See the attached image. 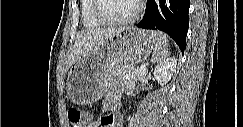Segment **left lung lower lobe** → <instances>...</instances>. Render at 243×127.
I'll return each instance as SVG.
<instances>
[{
    "label": "left lung lower lobe",
    "instance_id": "1",
    "mask_svg": "<svg viewBox=\"0 0 243 127\" xmlns=\"http://www.w3.org/2000/svg\"><path fill=\"white\" fill-rule=\"evenodd\" d=\"M189 6L190 0H148L145 15L137 27L166 32L184 53Z\"/></svg>",
    "mask_w": 243,
    "mask_h": 127
}]
</instances>
